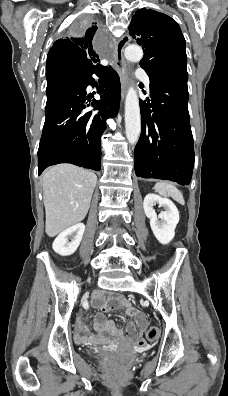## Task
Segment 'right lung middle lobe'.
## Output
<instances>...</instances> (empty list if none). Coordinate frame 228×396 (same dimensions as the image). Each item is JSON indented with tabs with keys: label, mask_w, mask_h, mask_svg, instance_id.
Here are the masks:
<instances>
[{
	"label": "right lung middle lobe",
	"mask_w": 228,
	"mask_h": 396,
	"mask_svg": "<svg viewBox=\"0 0 228 396\" xmlns=\"http://www.w3.org/2000/svg\"><path fill=\"white\" fill-rule=\"evenodd\" d=\"M89 24V20L85 17L79 18L73 25L72 32L73 33H81ZM72 71L69 70H60V71H52L46 72L47 78V95L51 94L57 87L63 84L69 77L72 75Z\"/></svg>",
	"instance_id": "right-lung-middle-lobe-1"
}]
</instances>
